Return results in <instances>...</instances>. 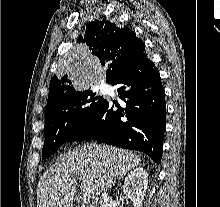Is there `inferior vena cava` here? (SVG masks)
Returning <instances> with one entry per match:
<instances>
[{
    "mask_svg": "<svg viewBox=\"0 0 220 207\" xmlns=\"http://www.w3.org/2000/svg\"><path fill=\"white\" fill-rule=\"evenodd\" d=\"M111 187V181L110 180H105L102 183V195L100 199V207H108L109 202H110V197L108 196V190Z\"/></svg>",
    "mask_w": 220,
    "mask_h": 207,
    "instance_id": "inferior-vena-cava-1",
    "label": "inferior vena cava"
}]
</instances>
